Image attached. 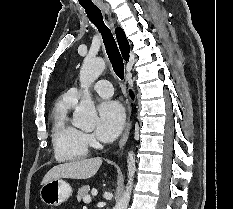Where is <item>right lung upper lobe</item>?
<instances>
[{"label": "right lung upper lobe", "instance_id": "obj_1", "mask_svg": "<svg viewBox=\"0 0 233 209\" xmlns=\"http://www.w3.org/2000/svg\"><path fill=\"white\" fill-rule=\"evenodd\" d=\"M115 33H116V38H117L122 56L126 61H128L130 48H129V43H128V40L126 39L125 33L120 27L116 28Z\"/></svg>", "mask_w": 233, "mask_h": 209}]
</instances>
